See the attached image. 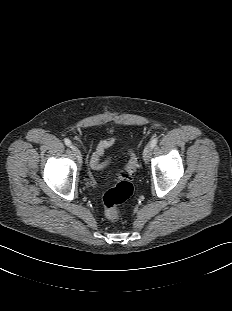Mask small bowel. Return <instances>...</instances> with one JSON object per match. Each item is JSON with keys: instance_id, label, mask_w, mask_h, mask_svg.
Listing matches in <instances>:
<instances>
[{"instance_id": "1", "label": "small bowel", "mask_w": 232, "mask_h": 311, "mask_svg": "<svg viewBox=\"0 0 232 311\" xmlns=\"http://www.w3.org/2000/svg\"><path fill=\"white\" fill-rule=\"evenodd\" d=\"M115 142V139L113 137H110V138H107L103 141H101L95 152L93 153L92 157H91V160H90V167L92 170H95V171H100L102 169H104L107 164H108V160H105V161H101V157L104 153V151L109 148L110 146H112Z\"/></svg>"}]
</instances>
